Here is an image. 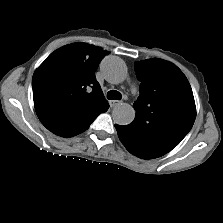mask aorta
<instances>
[{"mask_svg":"<svg viewBox=\"0 0 223 223\" xmlns=\"http://www.w3.org/2000/svg\"><path fill=\"white\" fill-rule=\"evenodd\" d=\"M101 70L106 80L113 84L123 82L127 75L125 63L120 58L115 56L106 57L101 63ZM112 118L118 125H128L135 118V110L128 103H119L112 111Z\"/></svg>","mask_w":223,"mask_h":223,"instance_id":"1","label":"aorta"}]
</instances>
